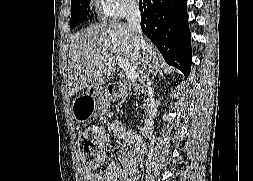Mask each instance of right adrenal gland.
<instances>
[{
	"mask_svg": "<svg viewBox=\"0 0 253 181\" xmlns=\"http://www.w3.org/2000/svg\"><path fill=\"white\" fill-rule=\"evenodd\" d=\"M156 75H159V76H161V77H164L163 72H162L161 69L155 71V72L152 74V79H154V77H155Z\"/></svg>",
	"mask_w": 253,
	"mask_h": 181,
	"instance_id": "right-adrenal-gland-1",
	"label": "right adrenal gland"
}]
</instances>
